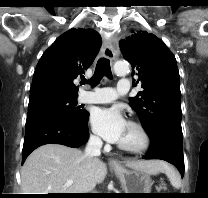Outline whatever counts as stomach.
I'll return each mask as SVG.
<instances>
[{"instance_id":"1","label":"stomach","mask_w":208,"mask_h":198,"mask_svg":"<svg viewBox=\"0 0 208 198\" xmlns=\"http://www.w3.org/2000/svg\"><path fill=\"white\" fill-rule=\"evenodd\" d=\"M113 170L121 182L124 193H150L152 187L150 174L123 166L113 167Z\"/></svg>"}]
</instances>
